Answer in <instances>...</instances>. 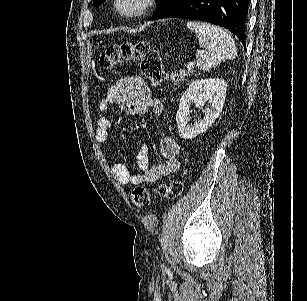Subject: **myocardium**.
<instances>
[{
  "label": "myocardium",
  "instance_id": "f54148a6",
  "mask_svg": "<svg viewBox=\"0 0 307 301\" xmlns=\"http://www.w3.org/2000/svg\"><path fill=\"white\" fill-rule=\"evenodd\" d=\"M152 2L153 0H114L112 5L118 8L123 17H138L148 11Z\"/></svg>",
  "mask_w": 307,
  "mask_h": 301
}]
</instances>
